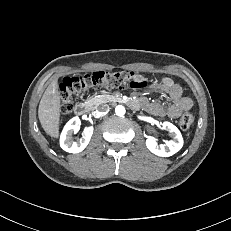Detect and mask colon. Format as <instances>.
<instances>
[{
  "instance_id": "1",
  "label": "colon",
  "mask_w": 231,
  "mask_h": 231,
  "mask_svg": "<svg viewBox=\"0 0 231 231\" xmlns=\"http://www.w3.org/2000/svg\"><path fill=\"white\" fill-rule=\"evenodd\" d=\"M136 76V73L130 71H97L65 78L60 85L61 112L63 114L70 113L76 100L90 89L111 90L145 87L147 82L138 80ZM192 123L191 112H183L179 119L180 128L184 131L188 130Z\"/></svg>"
}]
</instances>
